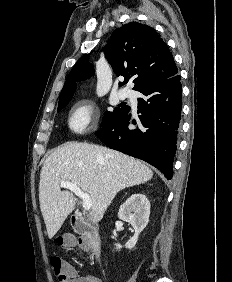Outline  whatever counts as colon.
Wrapping results in <instances>:
<instances>
[{
  "instance_id": "5ec220e1",
  "label": "colon",
  "mask_w": 232,
  "mask_h": 282,
  "mask_svg": "<svg viewBox=\"0 0 232 282\" xmlns=\"http://www.w3.org/2000/svg\"><path fill=\"white\" fill-rule=\"evenodd\" d=\"M60 245L64 246H81L86 247V242L79 240L76 241L71 237H60L58 240ZM50 263L55 276L59 282H71L73 267L67 263L64 259L57 255H53L50 258Z\"/></svg>"
}]
</instances>
